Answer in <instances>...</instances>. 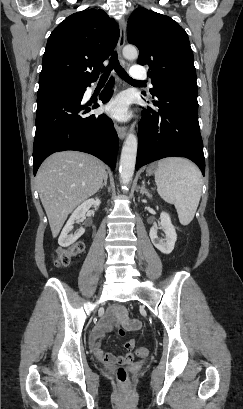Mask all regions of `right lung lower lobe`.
Returning <instances> with one entry per match:
<instances>
[{
    "instance_id": "98d812e1",
    "label": "right lung lower lobe",
    "mask_w": 243,
    "mask_h": 409,
    "mask_svg": "<svg viewBox=\"0 0 243 409\" xmlns=\"http://www.w3.org/2000/svg\"><path fill=\"white\" fill-rule=\"evenodd\" d=\"M90 81L78 90H61L37 96L36 133L33 147V172L54 152L76 150L90 153L115 169L118 136L112 120L105 114L85 116L99 107L97 102L83 104ZM111 79L99 99L106 103L112 94Z\"/></svg>"
}]
</instances>
